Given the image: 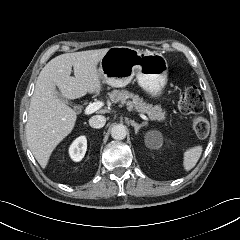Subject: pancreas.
Masks as SVG:
<instances>
[{
  "label": "pancreas",
  "instance_id": "1",
  "mask_svg": "<svg viewBox=\"0 0 240 240\" xmlns=\"http://www.w3.org/2000/svg\"><path fill=\"white\" fill-rule=\"evenodd\" d=\"M109 98L113 103L120 102L126 104L130 109L147 114L152 120L164 121L166 119L165 112L159 106L148 104L138 95H134L127 90H113L109 93ZM129 98L132 100H127Z\"/></svg>",
  "mask_w": 240,
  "mask_h": 240
}]
</instances>
